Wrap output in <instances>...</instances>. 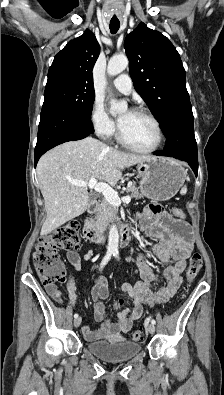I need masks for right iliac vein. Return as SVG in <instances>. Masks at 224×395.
<instances>
[{"label": "right iliac vein", "instance_id": "right-iliac-vein-1", "mask_svg": "<svg viewBox=\"0 0 224 395\" xmlns=\"http://www.w3.org/2000/svg\"><path fill=\"white\" fill-rule=\"evenodd\" d=\"M81 322H82L81 317L76 318V319L74 320V326H75V327H79L80 324H81Z\"/></svg>", "mask_w": 224, "mask_h": 395}]
</instances>
